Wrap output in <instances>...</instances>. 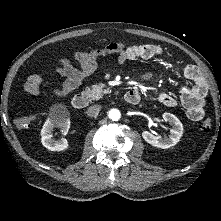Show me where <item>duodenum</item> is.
I'll use <instances>...</instances> for the list:
<instances>
[{"label":"duodenum","mask_w":221,"mask_h":221,"mask_svg":"<svg viewBox=\"0 0 221 221\" xmlns=\"http://www.w3.org/2000/svg\"><path fill=\"white\" fill-rule=\"evenodd\" d=\"M124 100L129 104H137L140 101V95L135 90H130L125 93ZM72 105L75 109L81 110L88 105V98L84 94H76L72 98Z\"/></svg>","instance_id":"1"}]
</instances>
